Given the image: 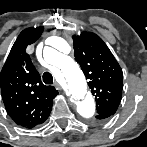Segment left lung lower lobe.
<instances>
[{
  "label": "left lung lower lobe",
  "instance_id": "0a47b994",
  "mask_svg": "<svg viewBox=\"0 0 147 147\" xmlns=\"http://www.w3.org/2000/svg\"><path fill=\"white\" fill-rule=\"evenodd\" d=\"M109 116H102V118H100V119H105V118H108Z\"/></svg>",
  "mask_w": 147,
  "mask_h": 147
}]
</instances>
